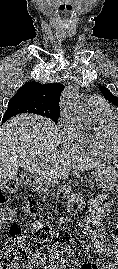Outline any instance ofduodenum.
Listing matches in <instances>:
<instances>
[{"label": "duodenum", "mask_w": 118, "mask_h": 269, "mask_svg": "<svg viewBox=\"0 0 118 269\" xmlns=\"http://www.w3.org/2000/svg\"><path fill=\"white\" fill-rule=\"evenodd\" d=\"M28 181L30 182V184L34 183V179L33 178H28ZM33 213H35V212H33ZM35 217L38 220H43V216L40 215V214H35Z\"/></svg>", "instance_id": "410a0bca"}]
</instances>
